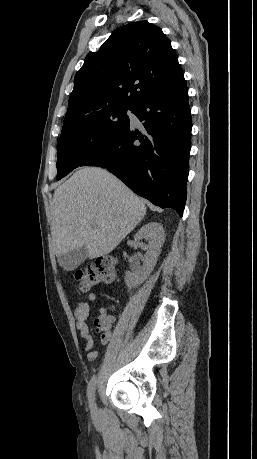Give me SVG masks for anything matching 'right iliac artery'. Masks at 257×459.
Wrapping results in <instances>:
<instances>
[{"mask_svg":"<svg viewBox=\"0 0 257 459\" xmlns=\"http://www.w3.org/2000/svg\"><path fill=\"white\" fill-rule=\"evenodd\" d=\"M96 388V377L93 376L88 384V399L91 407L94 406V395Z\"/></svg>","mask_w":257,"mask_h":459,"instance_id":"obj_1","label":"right iliac artery"}]
</instances>
